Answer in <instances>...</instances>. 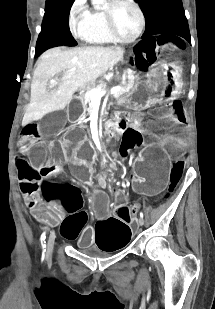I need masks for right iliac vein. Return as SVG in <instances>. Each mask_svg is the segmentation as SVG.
I'll return each mask as SVG.
<instances>
[{"mask_svg":"<svg viewBox=\"0 0 215 309\" xmlns=\"http://www.w3.org/2000/svg\"><path fill=\"white\" fill-rule=\"evenodd\" d=\"M56 235H55V231H51L50 236H49V240H48V244H47V252L51 253L54 247V241H55Z\"/></svg>","mask_w":215,"mask_h":309,"instance_id":"obj_1","label":"right iliac vein"}]
</instances>
